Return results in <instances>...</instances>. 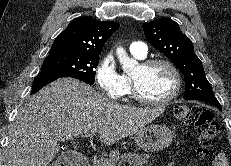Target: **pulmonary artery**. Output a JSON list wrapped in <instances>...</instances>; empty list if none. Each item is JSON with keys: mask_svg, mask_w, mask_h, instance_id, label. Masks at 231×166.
<instances>
[{"mask_svg": "<svg viewBox=\"0 0 231 166\" xmlns=\"http://www.w3.org/2000/svg\"><path fill=\"white\" fill-rule=\"evenodd\" d=\"M131 54L136 55L140 58H145L147 56V46L144 42L136 41L132 42L129 46Z\"/></svg>", "mask_w": 231, "mask_h": 166, "instance_id": "obj_1", "label": "pulmonary artery"}]
</instances>
